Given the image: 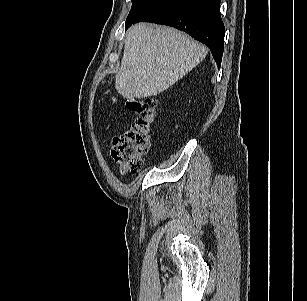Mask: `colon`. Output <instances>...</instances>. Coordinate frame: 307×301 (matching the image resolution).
<instances>
[{
  "instance_id": "5ec220e1",
  "label": "colon",
  "mask_w": 307,
  "mask_h": 301,
  "mask_svg": "<svg viewBox=\"0 0 307 301\" xmlns=\"http://www.w3.org/2000/svg\"><path fill=\"white\" fill-rule=\"evenodd\" d=\"M126 104L138 117L113 139L111 154L122 173H137L148 151L157 101L154 98L129 97Z\"/></svg>"
}]
</instances>
